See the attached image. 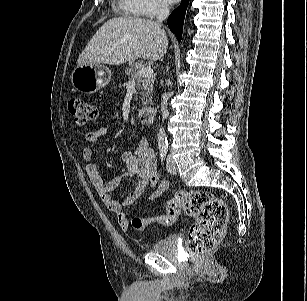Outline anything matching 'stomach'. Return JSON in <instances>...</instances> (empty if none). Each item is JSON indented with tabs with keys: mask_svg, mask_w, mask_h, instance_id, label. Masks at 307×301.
I'll use <instances>...</instances> for the list:
<instances>
[{
	"mask_svg": "<svg viewBox=\"0 0 307 301\" xmlns=\"http://www.w3.org/2000/svg\"><path fill=\"white\" fill-rule=\"evenodd\" d=\"M111 80V71L101 64L77 66L71 74L73 87L86 94H92L106 86Z\"/></svg>",
	"mask_w": 307,
	"mask_h": 301,
	"instance_id": "stomach-1",
	"label": "stomach"
}]
</instances>
